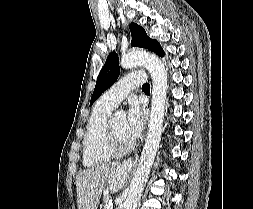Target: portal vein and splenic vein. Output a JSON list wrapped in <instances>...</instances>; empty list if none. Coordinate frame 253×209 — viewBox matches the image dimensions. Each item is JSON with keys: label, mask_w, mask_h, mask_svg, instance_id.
<instances>
[{"label": "portal vein and splenic vein", "mask_w": 253, "mask_h": 209, "mask_svg": "<svg viewBox=\"0 0 253 209\" xmlns=\"http://www.w3.org/2000/svg\"><path fill=\"white\" fill-rule=\"evenodd\" d=\"M107 209H113V202L112 199L109 201V204L107 206Z\"/></svg>", "instance_id": "18ae733b"}]
</instances>
